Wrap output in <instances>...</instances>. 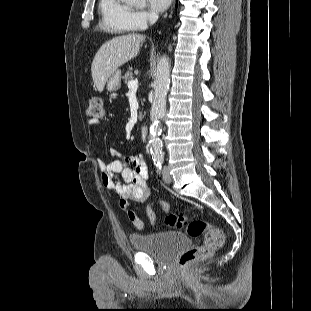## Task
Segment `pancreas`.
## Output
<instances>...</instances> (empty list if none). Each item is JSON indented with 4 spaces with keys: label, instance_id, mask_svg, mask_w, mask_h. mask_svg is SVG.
<instances>
[{
    "label": "pancreas",
    "instance_id": "obj_1",
    "mask_svg": "<svg viewBox=\"0 0 311 311\" xmlns=\"http://www.w3.org/2000/svg\"><path fill=\"white\" fill-rule=\"evenodd\" d=\"M125 81V83H128L129 81L133 80L134 76L131 70H128L125 75L122 77ZM143 115L142 113H140L139 115V120H142Z\"/></svg>",
    "mask_w": 311,
    "mask_h": 311
}]
</instances>
